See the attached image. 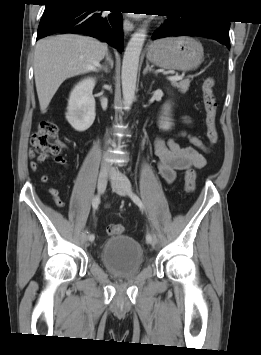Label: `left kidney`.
<instances>
[{
  "label": "left kidney",
  "instance_id": "5707ae66",
  "mask_svg": "<svg viewBox=\"0 0 261 355\" xmlns=\"http://www.w3.org/2000/svg\"><path fill=\"white\" fill-rule=\"evenodd\" d=\"M164 114L168 115V111L170 110V107L168 104L164 106ZM170 119L168 117H162V120L160 121L159 128L163 130H168L171 128L172 123L169 121Z\"/></svg>",
  "mask_w": 261,
  "mask_h": 355
}]
</instances>
